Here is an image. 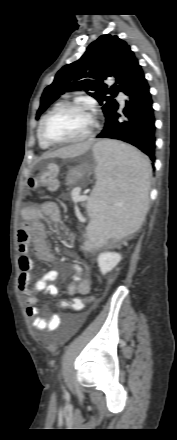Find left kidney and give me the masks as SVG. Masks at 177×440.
Wrapping results in <instances>:
<instances>
[{
	"mask_svg": "<svg viewBox=\"0 0 177 440\" xmlns=\"http://www.w3.org/2000/svg\"><path fill=\"white\" fill-rule=\"evenodd\" d=\"M122 257L116 252H104L98 256V266L103 275L110 272L121 261Z\"/></svg>",
	"mask_w": 177,
	"mask_h": 440,
	"instance_id": "obj_1",
	"label": "left kidney"
}]
</instances>
